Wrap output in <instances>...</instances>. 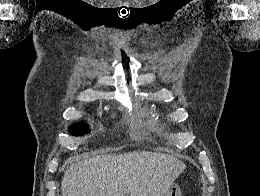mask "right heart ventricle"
Listing matches in <instances>:
<instances>
[{"label":"right heart ventricle","mask_w":260,"mask_h":196,"mask_svg":"<svg viewBox=\"0 0 260 196\" xmlns=\"http://www.w3.org/2000/svg\"><path fill=\"white\" fill-rule=\"evenodd\" d=\"M116 192H142L140 190H116ZM147 192H153V190H147Z\"/></svg>","instance_id":"1"}]
</instances>
